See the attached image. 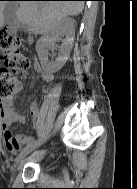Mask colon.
I'll return each mask as SVG.
<instances>
[{"instance_id":"5ec220e1","label":"colon","mask_w":137,"mask_h":189,"mask_svg":"<svg viewBox=\"0 0 137 189\" xmlns=\"http://www.w3.org/2000/svg\"><path fill=\"white\" fill-rule=\"evenodd\" d=\"M0 103L8 102L22 86V78L26 76L35 61L28 58L20 38L0 30Z\"/></svg>"}]
</instances>
